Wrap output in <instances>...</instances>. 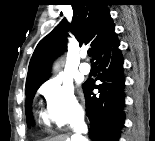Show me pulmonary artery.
Instances as JSON below:
<instances>
[{
	"label": "pulmonary artery",
	"instance_id": "pulmonary-artery-1",
	"mask_svg": "<svg viewBox=\"0 0 155 141\" xmlns=\"http://www.w3.org/2000/svg\"><path fill=\"white\" fill-rule=\"evenodd\" d=\"M81 57L82 58H85L86 57V53H82L81 54ZM79 70L82 74H88L90 72V65L88 63H82L80 66H79Z\"/></svg>",
	"mask_w": 155,
	"mask_h": 141
}]
</instances>
